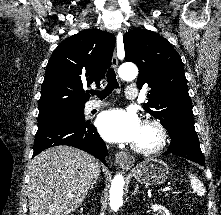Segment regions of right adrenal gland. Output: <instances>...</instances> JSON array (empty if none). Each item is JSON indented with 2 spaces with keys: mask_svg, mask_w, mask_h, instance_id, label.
<instances>
[{
  "mask_svg": "<svg viewBox=\"0 0 221 215\" xmlns=\"http://www.w3.org/2000/svg\"><path fill=\"white\" fill-rule=\"evenodd\" d=\"M97 179H98V176L95 177L94 181L91 183V186H90V189L92 190L93 189V186L94 185H97Z\"/></svg>",
  "mask_w": 221,
  "mask_h": 215,
  "instance_id": "1",
  "label": "right adrenal gland"
}]
</instances>
